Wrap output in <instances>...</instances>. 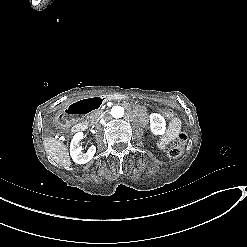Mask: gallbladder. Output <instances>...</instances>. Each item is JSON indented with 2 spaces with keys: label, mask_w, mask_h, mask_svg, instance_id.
Instances as JSON below:
<instances>
[{
  "label": "gallbladder",
  "mask_w": 247,
  "mask_h": 247,
  "mask_svg": "<svg viewBox=\"0 0 247 247\" xmlns=\"http://www.w3.org/2000/svg\"><path fill=\"white\" fill-rule=\"evenodd\" d=\"M43 123V127L46 129L48 135L53 136L61 133L62 125L59 126L57 118L47 115L44 117Z\"/></svg>",
  "instance_id": "bac80fb5"
}]
</instances>
